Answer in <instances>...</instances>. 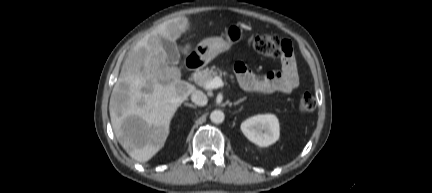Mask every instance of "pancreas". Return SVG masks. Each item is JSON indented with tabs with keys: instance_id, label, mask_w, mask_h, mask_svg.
Listing matches in <instances>:
<instances>
[{
	"instance_id": "1",
	"label": "pancreas",
	"mask_w": 432,
	"mask_h": 193,
	"mask_svg": "<svg viewBox=\"0 0 432 193\" xmlns=\"http://www.w3.org/2000/svg\"><path fill=\"white\" fill-rule=\"evenodd\" d=\"M227 73L225 71H223L221 68H218L216 66H212L211 68H205L201 71H198L195 75H194V81L200 85V86H204L206 85L207 82H209L210 80H212L215 76H225Z\"/></svg>"
}]
</instances>
